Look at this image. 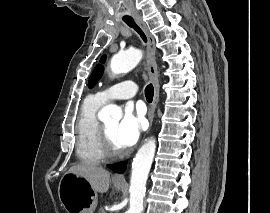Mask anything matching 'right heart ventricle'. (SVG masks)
Here are the masks:
<instances>
[{
  "instance_id": "e07e8e85",
  "label": "right heart ventricle",
  "mask_w": 270,
  "mask_h": 213,
  "mask_svg": "<svg viewBox=\"0 0 270 213\" xmlns=\"http://www.w3.org/2000/svg\"><path fill=\"white\" fill-rule=\"evenodd\" d=\"M102 106L94 96L83 102L76 121V154L87 163L98 164L106 160L100 142V122L97 112Z\"/></svg>"
}]
</instances>
